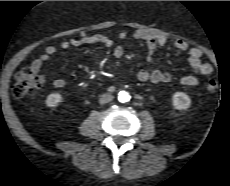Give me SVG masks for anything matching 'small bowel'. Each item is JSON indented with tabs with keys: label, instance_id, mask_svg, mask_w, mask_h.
<instances>
[{
	"label": "small bowel",
	"instance_id": "small-bowel-1",
	"mask_svg": "<svg viewBox=\"0 0 230 186\" xmlns=\"http://www.w3.org/2000/svg\"><path fill=\"white\" fill-rule=\"evenodd\" d=\"M127 32H121L118 37H126ZM134 38L145 42L148 50V59L154 60V55L157 49L164 46L167 43V38L164 36H158L153 33L135 30L133 32ZM81 44H101L106 48H111L114 45V41L104 34H82L79 38H69L68 40L61 41L58 46H48L45 48L43 53L33 60L29 68L34 72H39L44 63L55 57L58 53V49L68 50L72 47L79 46ZM173 48L176 51L188 52V65L190 70L199 75H209L213 72V66L209 62L203 61L204 52L198 47H190L188 42L183 39H178L173 43ZM124 54L121 46L113 48V56L121 58ZM137 78L141 82H152V83H168L171 81V74L163 72L159 69L151 71L140 70L137 74ZM181 84L186 87H194L198 84V79L194 75H186L181 78ZM52 85L56 88H63L66 82L62 78H55L52 81Z\"/></svg>",
	"mask_w": 230,
	"mask_h": 186
}]
</instances>
